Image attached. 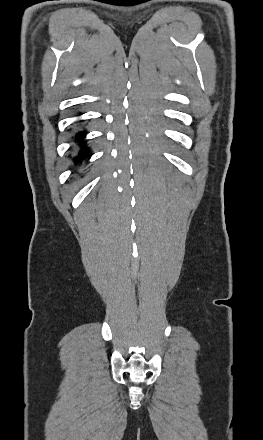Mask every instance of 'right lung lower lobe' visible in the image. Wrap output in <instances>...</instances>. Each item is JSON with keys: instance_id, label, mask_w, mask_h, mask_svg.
<instances>
[{"instance_id": "obj_1", "label": "right lung lower lobe", "mask_w": 263, "mask_h": 440, "mask_svg": "<svg viewBox=\"0 0 263 440\" xmlns=\"http://www.w3.org/2000/svg\"><path fill=\"white\" fill-rule=\"evenodd\" d=\"M83 137H85V134L83 132H80L79 134H77L76 139L81 141ZM81 146L84 147L85 146L84 143H81ZM87 153H88L87 148H84L83 150L80 151L79 156L75 159V161H81L86 156Z\"/></svg>"}]
</instances>
